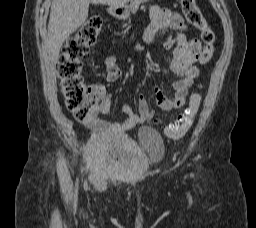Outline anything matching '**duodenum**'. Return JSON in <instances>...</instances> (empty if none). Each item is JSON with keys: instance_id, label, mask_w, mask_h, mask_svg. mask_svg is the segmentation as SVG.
<instances>
[{"instance_id": "410a0bca", "label": "duodenum", "mask_w": 256, "mask_h": 228, "mask_svg": "<svg viewBox=\"0 0 256 228\" xmlns=\"http://www.w3.org/2000/svg\"><path fill=\"white\" fill-rule=\"evenodd\" d=\"M108 11L114 17H121L124 14L125 9L121 5L112 4L109 6Z\"/></svg>"}]
</instances>
